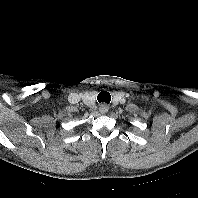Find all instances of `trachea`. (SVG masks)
<instances>
[{
    "mask_svg": "<svg viewBox=\"0 0 198 198\" xmlns=\"http://www.w3.org/2000/svg\"><path fill=\"white\" fill-rule=\"evenodd\" d=\"M97 100L99 103L103 102L109 104V102L111 101L110 93L107 91H101L97 96Z\"/></svg>",
    "mask_w": 198,
    "mask_h": 198,
    "instance_id": "1",
    "label": "trachea"
}]
</instances>
